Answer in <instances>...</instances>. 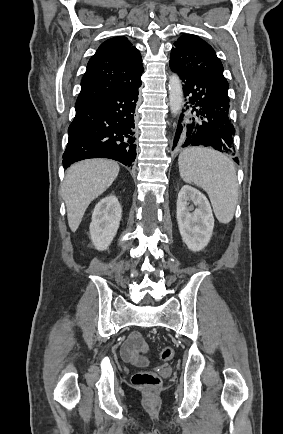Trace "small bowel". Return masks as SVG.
Instances as JSON below:
<instances>
[{
    "instance_id": "obj_1",
    "label": "small bowel",
    "mask_w": 283,
    "mask_h": 434,
    "mask_svg": "<svg viewBox=\"0 0 283 434\" xmlns=\"http://www.w3.org/2000/svg\"><path fill=\"white\" fill-rule=\"evenodd\" d=\"M134 350L140 352V354L135 355ZM146 350L147 345L143 340L141 334L139 332H133L123 343L121 347V355L125 360L132 362L136 365L143 366L148 362L146 357L143 356V353Z\"/></svg>"
}]
</instances>
